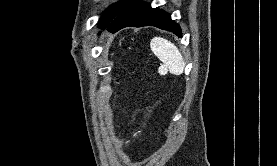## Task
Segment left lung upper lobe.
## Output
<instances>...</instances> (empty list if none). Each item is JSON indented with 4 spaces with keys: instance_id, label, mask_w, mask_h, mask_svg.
I'll list each match as a JSON object with an SVG mask.
<instances>
[{
    "instance_id": "5c2ea615",
    "label": "left lung upper lobe",
    "mask_w": 277,
    "mask_h": 166,
    "mask_svg": "<svg viewBox=\"0 0 277 166\" xmlns=\"http://www.w3.org/2000/svg\"><path fill=\"white\" fill-rule=\"evenodd\" d=\"M134 0H121L118 3L111 5L103 14L100 20V27L104 28L114 17H116L121 11L133 3Z\"/></svg>"
}]
</instances>
